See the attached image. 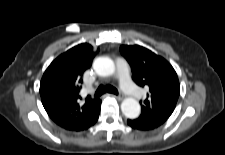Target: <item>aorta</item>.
<instances>
[{
    "instance_id": "762f6f07",
    "label": "aorta",
    "mask_w": 225,
    "mask_h": 155,
    "mask_svg": "<svg viewBox=\"0 0 225 155\" xmlns=\"http://www.w3.org/2000/svg\"><path fill=\"white\" fill-rule=\"evenodd\" d=\"M95 72L100 76H110L115 72V64L109 57H97L93 62ZM121 111L127 118H137L140 114L141 107L134 98H126L121 103Z\"/></svg>"
}]
</instances>
